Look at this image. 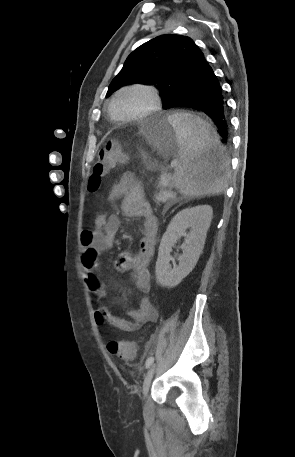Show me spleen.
<instances>
[{
	"instance_id": "1",
	"label": "spleen",
	"mask_w": 295,
	"mask_h": 457,
	"mask_svg": "<svg viewBox=\"0 0 295 457\" xmlns=\"http://www.w3.org/2000/svg\"><path fill=\"white\" fill-rule=\"evenodd\" d=\"M168 118L179 146L174 185L190 197L221 193L229 173L216 130L192 113L178 112Z\"/></svg>"
}]
</instances>
